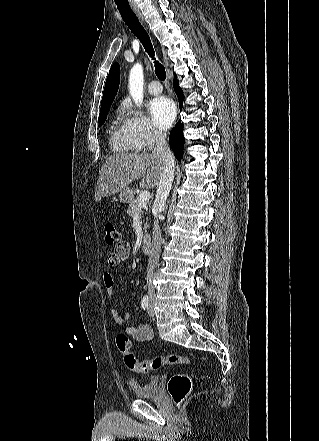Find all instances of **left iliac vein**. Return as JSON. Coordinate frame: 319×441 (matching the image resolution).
I'll return each mask as SVG.
<instances>
[{"instance_id": "obj_1", "label": "left iliac vein", "mask_w": 319, "mask_h": 441, "mask_svg": "<svg viewBox=\"0 0 319 441\" xmlns=\"http://www.w3.org/2000/svg\"><path fill=\"white\" fill-rule=\"evenodd\" d=\"M153 305H154V301H153V299H151V300H150L149 307H148V315H149L150 317H153V316H154Z\"/></svg>"}]
</instances>
